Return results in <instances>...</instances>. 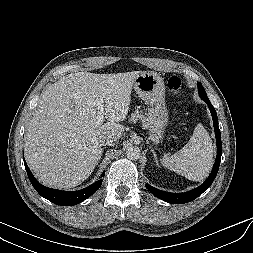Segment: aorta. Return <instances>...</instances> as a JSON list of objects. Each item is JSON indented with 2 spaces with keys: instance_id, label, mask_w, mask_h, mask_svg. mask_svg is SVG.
<instances>
[{
  "instance_id": "1",
  "label": "aorta",
  "mask_w": 253,
  "mask_h": 253,
  "mask_svg": "<svg viewBox=\"0 0 253 253\" xmlns=\"http://www.w3.org/2000/svg\"><path fill=\"white\" fill-rule=\"evenodd\" d=\"M141 151L137 146H129L126 149V156L130 160H137L140 158Z\"/></svg>"
}]
</instances>
